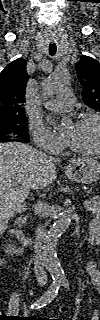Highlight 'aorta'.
<instances>
[{
	"instance_id": "1",
	"label": "aorta",
	"mask_w": 100,
	"mask_h": 320,
	"mask_svg": "<svg viewBox=\"0 0 100 320\" xmlns=\"http://www.w3.org/2000/svg\"><path fill=\"white\" fill-rule=\"evenodd\" d=\"M69 80L66 69L53 71L44 81L43 91L48 97L54 95L60 88L65 86ZM51 123L55 128H62L66 121L58 116H51ZM72 219V208L66 205L60 213L59 218L48 231L43 243V257L46 268L54 280H64L65 274L57 257V242L59 237L68 229Z\"/></svg>"
}]
</instances>
